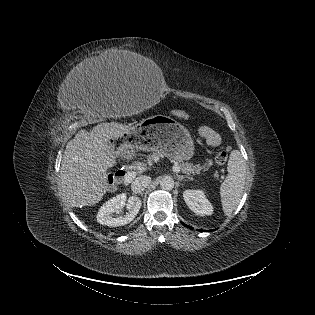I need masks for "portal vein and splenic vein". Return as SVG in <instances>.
<instances>
[{
  "mask_svg": "<svg viewBox=\"0 0 315 315\" xmlns=\"http://www.w3.org/2000/svg\"><path fill=\"white\" fill-rule=\"evenodd\" d=\"M172 169L175 173L180 172V168L177 166H173ZM135 177H136V172L135 171H129L126 173V175L124 177V181L128 183V182L132 181V179H134Z\"/></svg>",
  "mask_w": 315,
  "mask_h": 315,
  "instance_id": "1",
  "label": "portal vein and splenic vein"
}]
</instances>
